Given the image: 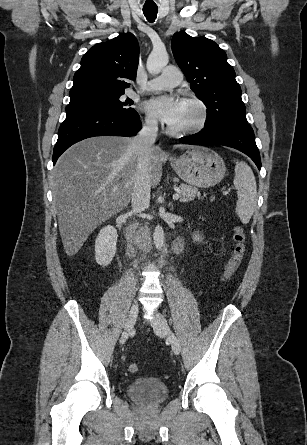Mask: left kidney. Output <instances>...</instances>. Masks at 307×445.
Wrapping results in <instances>:
<instances>
[{
	"label": "left kidney",
	"instance_id": "1",
	"mask_svg": "<svg viewBox=\"0 0 307 445\" xmlns=\"http://www.w3.org/2000/svg\"><path fill=\"white\" fill-rule=\"evenodd\" d=\"M193 239L194 241H200L201 237H199V235H194Z\"/></svg>",
	"mask_w": 307,
	"mask_h": 445
}]
</instances>
